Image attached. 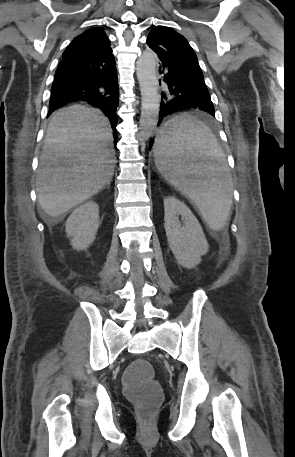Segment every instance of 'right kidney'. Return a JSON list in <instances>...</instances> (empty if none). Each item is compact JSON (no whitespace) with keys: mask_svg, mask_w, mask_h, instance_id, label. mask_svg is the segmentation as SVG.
Listing matches in <instances>:
<instances>
[{"mask_svg":"<svg viewBox=\"0 0 295 457\" xmlns=\"http://www.w3.org/2000/svg\"><path fill=\"white\" fill-rule=\"evenodd\" d=\"M99 224V207L95 202L89 201L76 208L65 225L73 248L87 249L95 239Z\"/></svg>","mask_w":295,"mask_h":457,"instance_id":"right-kidney-1","label":"right kidney"}]
</instances>
